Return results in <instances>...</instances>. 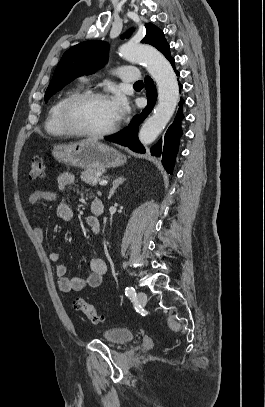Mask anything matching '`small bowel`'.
Listing matches in <instances>:
<instances>
[{
  "mask_svg": "<svg viewBox=\"0 0 265 407\" xmlns=\"http://www.w3.org/2000/svg\"><path fill=\"white\" fill-rule=\"evenodd\" d=\"M75 183V176L70 172H63L57 178V187L59 193H63L68 187ZM59 193L45 190H35L27 199V205L32 206L41 201L57 202L56 214L62 221L68 222L72 219L73 211L69 203ZM88 223L94 231H98L99 223L94 215L88 217ZM34 235L40 242H45V233L43 229L35 225ZM50 260L55 264L57 274V284L62 292L68 293L81 291L86 287L96 288L101 285L103 276L106 273V264L99 258H91L88 261L89 274L87 276L68 277L67 265L62 261L61 253L53 251L49 255Z\"/></svg>",
  "mask_w": 265,
  "mask_h": 407,
  "instance_id": "small-bowel-1",
  "label": "small bowel"
}]
</instances>
